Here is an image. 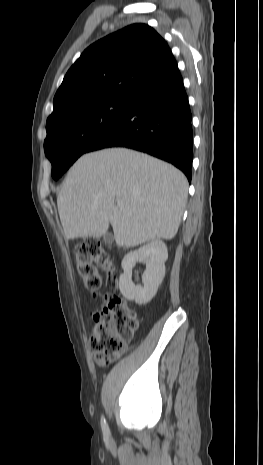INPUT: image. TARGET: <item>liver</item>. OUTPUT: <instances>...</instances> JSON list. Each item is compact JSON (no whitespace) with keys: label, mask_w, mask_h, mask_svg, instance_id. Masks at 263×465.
<instances>
[{"label":"liver","mask_w":263,"mask_h":465,"mask_svg":"<svg viewBox=\"0 0 263 465\" xmlns=\"http://www.w3.org/2000/svg\"><path fill=\"white\" fill-rule=\"evenodd\" d=\"M188 182L174 166L125 148L88 153L69 170L57 197L66 239L101 237L135 247L176 235ZM122 203V206L116 205Z\"/></svg>","instance_id":"1"}]
</instances>
